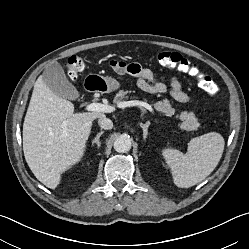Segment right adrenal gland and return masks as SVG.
Segmentation results:
<instances>
[{"label":"right adrenal gland","mask_w":249,"mask_h":249,"mask_svg":"<svg viewBox=\"0 0 249 249\" xmlns=\"http://www.w3.org/2000/svg\"><path fill=\"white\" fill-rule=\"evenodd\" d=\"M104 133V131H101L97 134V136L92 140V146H94V144H97V148L100 147V137L101 135Z\"/></svg>","instance_id":"2a0ac1e0"}]
</instances>
